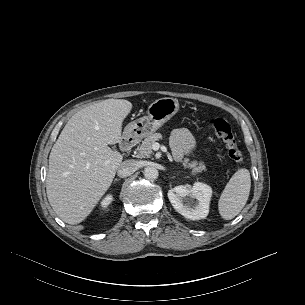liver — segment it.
Here are the masks:
<instances>
[{"label": "liver", "instance_id": "obj_1", "mask_svg": "<svg viewBox=\"0 0 305 305\" xmlns=\"http://www.w3.org/2000/svg\"><path fill=\"white\" fill-rule=\"evenodd\" d=\"M131 110L128 100H103L79 110L63 128L50 152L46 191L64 222L85 220L110 187L123 158L108 145L121 141Z\"/></svg>", "mask_w": 305, "mask_h": 305}]
</instances>
